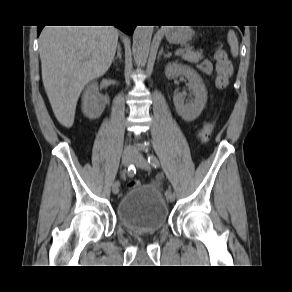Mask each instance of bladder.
I'll return each mask as SVG.
<instances>
[{
  "instance_id": "obj_1",
  "label": "bladder",
  "mask_w": 292,
  "mask_h": 292,
  "mask_svg": "<svg viewBox=\"0 0 292 292\" xmlns=\"http://www.w3.org/2000/svg\"><path fill=\"white\" fill-rule=\"evenodd\" d=\"M121 226L133 233H157L169 218V207L159 187L153 184L130 188L117 204Z\"/></svg>"
}]
</instances>
